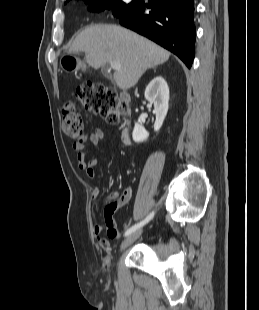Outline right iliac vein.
<instances>
[{
    "instance_id": "63e3f726",
    "label": "right iliac vein",
    "mask_w": 259,
    "mask_h": 310,
    "mask_svg": "<svg viewBox=\"0 0 259 310\" xmlns=\"http://www.w3.org/2000/svg\"><path fill=\"white\" fill-rule=\"evenodd\" d=\"M142 231V229H139L128 235V237L122 242L121 250H124L125 248L133 244L140 237Z\"/></svg>"
}]
</instances>
